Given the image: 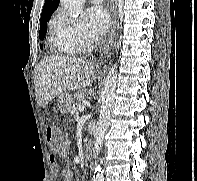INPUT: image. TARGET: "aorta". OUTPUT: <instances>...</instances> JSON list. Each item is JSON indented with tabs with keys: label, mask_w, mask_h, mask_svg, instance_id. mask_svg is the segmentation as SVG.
I'll list each match as a JSON object with an SVG mask.
<instances>
[{
	"label": "aorta",
	"mask_w": 197,
	"mask_h": 181,
	"mask_svg": "<svg viewBox=\"0 0 197 181\" xmlns=\"http://www.w3.org/2000/svg\"><path fill=\"white\" fill-rule=\"evenodd\" d=\"M60 2L68 15L72 17H78L82 11L85 0H60ZM117 74L118 67L116 64H114L109 69L101 94V110L93 142L95 158L100 152L104 136L110 125L117 87ZM93 170V181H104L103 171L96 161L94 162Z\"/></svg>",
	"instance_id": "obj_1"
}]
</instances>
